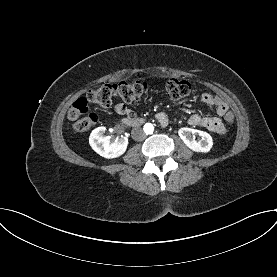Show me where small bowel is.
<instances>
[{"instance_id":"small-bowel-1","label":"small bowel","mask_w":277,"mask_h":277,"mask_svg":"<svg viewBox=\"0 0 277 277\" xmlns=\"http://www.w3.org/2000/svg\"><path fill=\"white\" fill-rule=\"evenodd\" d=\"M201 100L208 106L215 108L217 116L203 117L198 114H193L190 116L188 123L195 127L205 128L216 134H223L225 132V126L222 119L226 112H230L228 105L223 99L209 91L201 95ZM114 110L119 115L134 116V113L123 103L116 104ZM156 117L161 124H166L168 121V116L165 112L158 113Z\"/></svg>"}]
</instances>
